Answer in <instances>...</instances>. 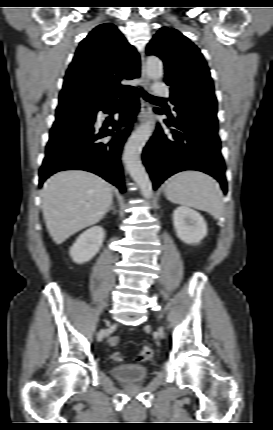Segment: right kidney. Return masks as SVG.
Segmentation results:
<instances>
[{"mask_svg": "<svg viewBox=\"0 0 273 430\" xmlns=\"http://www.w3.org/2000/svg\"><path fill=\"white\" fill-rule=\"evenodd\" d=\"M105 237L101 226H94L82 233L70 248V256L75 263L90 261L100 250Z\"/></svg>", "mask_w": 273, "mask_h": 430, "instance_id": "right-kidney-1", "label": "right kidney"}]
</instances>
